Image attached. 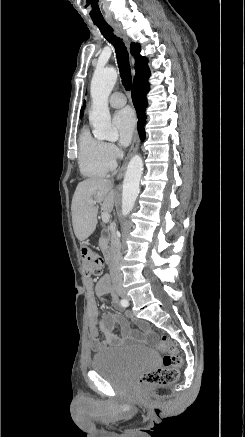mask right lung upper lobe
Returning a JSON list of instances; mask_svg holds the SVG:
<instances>
[{
	"label": "right lung upper lobe",
	"instance_id": "obj_1",
	"mask_svg": "<svg viewBox=\"0 0 245 437\" xmlns=\"http://www.w3.org/2000/svg\"><path fill=\"white\" fill-rule=\"evenodd\" d=\"M131 54L134 55L135 57V78H134V83L139 82V81H143L146 80L149 76H150V72H149V68L145 67V65L148 63V60L143 57L140 56V45L138 43H132L131 47ZM83 116V111L81 110V115L80 117Z\"/></svg>",
	"mask_w": 245,
	"mask_h": 437
}]
</instances>
